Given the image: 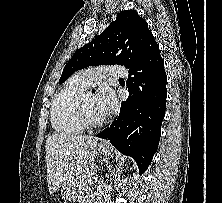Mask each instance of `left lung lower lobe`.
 <instances>
[{"label": "left lung lower lobe", "instance_id": "1", "mask_svg": "<svg viewBox=\"0 0 222 203\" xmlns=\"http://www.w3.org/2000/svg\"><path fill=\"white\" fill-rule=\"evenodd\" d=\"M128 72L129 97L121 103L118 118L97 137L134 158L142 173L158 148L167 96L164 61L152 33Z\"/></svg>", "mask_w": 222, "mask_h": 203}]
</instances>
